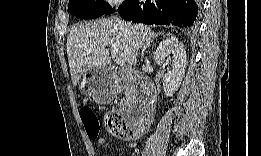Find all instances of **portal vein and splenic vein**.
<instances>
[{
    "label": "portal vein and splenic vein",
    "mask_w": 261,
    "mask_h": 156,
    "mask_svg": "<svg viewBox=\"0 0 261 156\" xmlns=\"http://www.w3.org/2000/svg\"><path fill=\"white\" fill-rule=\"evenodd\" d=\"M113 58H115L113 56ZM116 63L119 65V66H124L126 61L124 59H121V58H116Z\"/></svg>",
    "instance_id": "portal-vein-and-splenic-vein-1"
}]
</instances>
